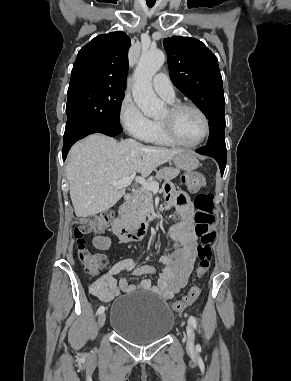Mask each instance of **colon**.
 Segmentation results:
<instances>
[{"label":"colon","instance_id":"5ec220e1","mask_svg":"<svg viewBox=\"0 0 291 381\" xmlns=\"http://www.w3.org/2000/svg\"><path fill=\"white\" fill-rule=\"evenodd\" d=\"M183 181L193 192H198L205 186V179L198 173L185 174ZM196 213L194 216L195 233L200 238L198 247L199 263L196 268L198 277L207 275L212 259V244L216 238L213 228L215 222L214 202L211 193L199 192L194 200ZM113 215L110 211H103L90 216L86 221L77 225L74 229V237L77 241L78 256L85 267L86 272L95 276L107 264L108 259L103 254H95L86 248L85 236L91 233H101L108 229ZM198 287H192L181 299L173 302L172 308L175 312H183L199 296Z\"/></svg>","mask_w":291,"mask_h":381}]
</instances>
